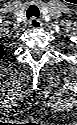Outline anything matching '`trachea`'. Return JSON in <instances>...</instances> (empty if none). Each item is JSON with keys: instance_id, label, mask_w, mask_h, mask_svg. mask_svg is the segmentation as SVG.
<instances>
[{"instance_id": "trachea-1", "label": "trachea", "mask_w": 77, "mask_h": 125, "mask_svg": "<svg viewBox=\"0 0 77 125\" xmlns=\"http://www.w3.org/2000/svg\"><path fill=\"white\" fill-rule=\"evenodd\" d=\"M27 18L30 17H39V9L35 6V5H31L29 6L28 10H27Z\"/></svg>"}]
</instances>
